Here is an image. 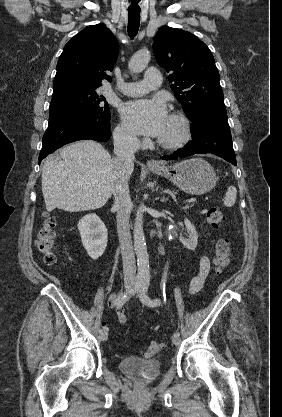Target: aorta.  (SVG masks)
Segmentation results:
<instances>
[{
    "label": "aorta",
    "mask_w": 282,
    "mask_h": 417,
    "mask_svg": "<svg viewBox=\"0 0 282 417\" xmlns=\"http://www.w3.org/2000/svg\"><path fill=\"white\" fill-rule=\"evenodd\" d=\"M150 52L142 48L128 62L130 72H142L150 60ZM134 251L137 259L138 279H150V263L143 229V209H138L133 227Z\"/></svg>",
    "instance_id": "aorta-1"
}]
</instances>
